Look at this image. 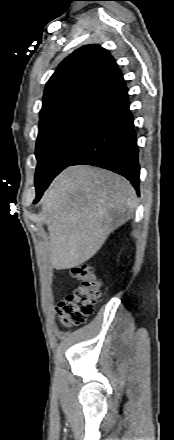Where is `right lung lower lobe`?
Returning <instances> with one entry per match:
<instances>
[{
  "label": "right lung lower lobe",
  "mask_w": 174,
  "mask_h": 440,
  "mask_svg": "<svg viewBox=\"0 0 174 440\" xmlns=\"http://www.w3.org/2000/svg\"><path fill=\"white\" fill-rule=\"evenodd\" d=\"M138 153L127 87L122 79L98 95L89 131L68 166L87 164L111 170L126 177L139 192ZM48 185L36 187L34 203Z\"/></svg>",
  "instance_id": "1"
}]
</instances>
